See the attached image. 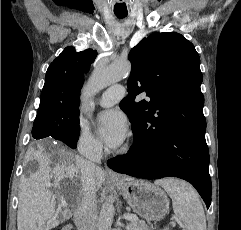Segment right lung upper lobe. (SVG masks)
I'll return each instance as SVG.
<instances>
[{
    "instance_id": "obj_1",
    "label": "right lung upper lobe",
    "mask_w": 241,
    "mask_h": 230,
    "mask_svg": "<svg viewBox=\"0 0 241 230\" xmlns=\"http://www.w3.org/2000/svg\"><path fill=\"white\" fill-rule=\"evenodd\" d=\"M96 56L92 49L76 52L74 47H66L47 69L38 112L78 109L84 73L89 71Z\"/></svg>"
}]
</instances>
